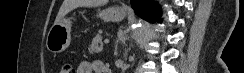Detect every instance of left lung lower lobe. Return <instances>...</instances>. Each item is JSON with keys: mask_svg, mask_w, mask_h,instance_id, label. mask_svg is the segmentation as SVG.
Returning a JSON list of instances; mask_svg holds the SVG:
<instances>
[{"mask_svg": "<svg viewBox=\"0 0 244 73\" xmlns=\"http://www.w3.org/2000/svg\"><path fill=\"white\" fill-rule=\"evenodd\" d=\"M131 5L136 14L149 22H154L160 17L158 5L150 0H131Z\"/></svg>", "mask_w": 244, "mask_h": 73, "instance_id": "1", "label": "left lung lower lobe"}]
</instances>
